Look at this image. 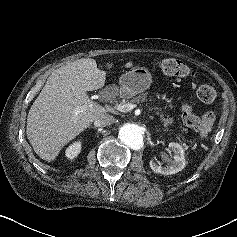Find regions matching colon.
Segmentation results:
<instances>
[{
	"label": "colon",
	"mask_w": 237,
	"mask_h": 237,
	"mask_svg": "<svg viewBox=\"0 0 237 237\" xmlns=\"http://www.w3.org/2000/svg\"><path fill=\"white\" fill-rule=\"evenodd\" d=\"M161 70L170 76L176 77H195V72L187 66L184 62L177 59H162L158 62ZM196 95L198 99L204 103H212L215 101L217 93L215 89L209 85H201ZM182 121L183 123L192 129L202 130L207 125H211L215 120V115L212 112H207L202 120L199 119L194 113V103L190 100L186 101L182 105Z\"/></svg>",
	"instance_id": "colon-1"
}]
</instances>
